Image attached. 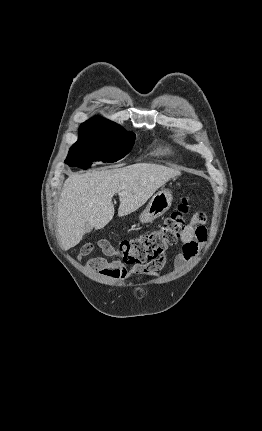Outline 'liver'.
Segmentation results:
<instances>
[{"instance_id":"obj_1","label":"liver","mask_w":262,"mask_h":431,"mask_svg":"<svg viewBox=\"0 0 262 431\" xmlns=\"http://www.w3.org/2000/svg\"><path fill=\"white\" fill-rule=\"evenodd\" d=\"M179 175L176 169L151 163L71 175L63 185L58 202L57 226L62 247L68 250L79 244L86 226L98 230L112 220L115 193H124L119 195L118 216H126Z\"/></svg>"}]
</instances>
